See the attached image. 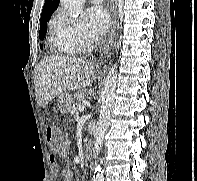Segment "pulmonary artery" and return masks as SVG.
Wrapping results in <instances>:
<instances>
[{
  "instance_id": "1",
  "label": "pulmonary artery",
  "mask_w": 197,
  "mask_h": 181,
  "mask_svg": "<svg viewBox=\"0 0 197 181\" xmlns=\"http://www.w3.org/2000/svg\"><path fill=\"white\" fill-rule=\"evenodd\" d=\"M92 3L94 4H99L101 3L103 0H90Z\"/></svg>"
}]
</instances>
